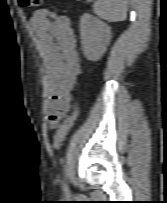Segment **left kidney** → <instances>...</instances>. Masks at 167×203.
Wrapping results in <instances>:
<instances>
[{
	"label": "left kidney",
	"mask_w": 167,
	"mask_h": 203,
	"mask_svg": "<svg viewBox=\"0 0 167 203\" xmlns=\"http://www.w3.org/2000/svg\"><path fill=\"white\" fill-rule=\"evenodd\" d=\"M82 50L90 61H98L107 49L111 39V28L89 14H84L80 21Z\"/></svg>",
	"instance_id": "obj_1"
}]
</instances>
